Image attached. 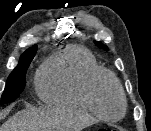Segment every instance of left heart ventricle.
I'll return each mask as SVG.
<instances>
[{
  "label": "left heart ventricle",
  "instance_id": "1",
  "mask_svg": "<svg viewBox=\"0 0 151 131\" xmlns=\"http://www.w3.org/2000/svg\"><path fill=\"white\" fill-rule=\"evenodd\" d=\"M97 103L100 109L110 117H115L120 114L122 109L121 98L109 80H103L99 83Z\"/></svg>",
  "mask_w": 151,
  "mask_h": 131
}]
</instances>
